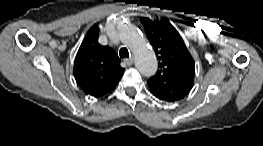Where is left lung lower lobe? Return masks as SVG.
Wrapping results in <instances>:
<instances>
[{"mask_svg":"<svg viewBox=\"0 0 263 146\" xmlns=\"http://www.w3.org/2000/svg\"><path fill=\"white\" fill-rule=\"evenodd\" d=\"M151 92H152V91H151ZM152 94H153L154 96H156L157 98L161 99V100L168 101V100H166V99L160 97V96H159L158 94H156L155 92H152Z\"/></svg>","mask_w":263,"mask_h":146,"instance_id":"left-lung-lower-lobe-1","label":"left lung lower lobe"}]
</instances>
